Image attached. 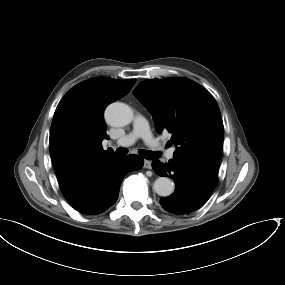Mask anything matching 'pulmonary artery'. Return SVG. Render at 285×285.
<instances>
[{"mask_svg": "<svg viewBox=\"0 0 285 285\" xmlns=\"http://www.w3.org/2000/svg\"><path fill=\"white\" fill-rule=\"evenodd\" d=\"M137 138H142L148 146L154 148L158 146V140L151 133L147 121L143 117H136L133 123V130L120 140L115 142L117 146H128L135 142ZM175 148L165 150V157L171 161L174 159Z\"/></svg>", "mask_w": 285, "mask_h": 285, "instance_id": "1", "label": "pulmonary artery"}]
</instances>
